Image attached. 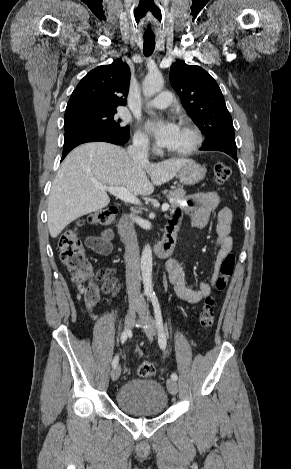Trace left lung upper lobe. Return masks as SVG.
I'll use <instances>...</instances> for the list:
<instances>
[{"instance_id":"obj_1","label":"left lung upper lobe","mask_w":291,"mask_h":469,"mask_svg":"<svg viewBox=\"0 0 291 469\" xmlns=\"http://www.w3.org/2000/svg\"><path fill=\"white\" fill-rule=\"evenodd\" d=\"M170 81L183 107L204 132V146L220 142L235 143L231 115L218 84L208 72L177 60L171 67Z\"/></svg>"}]
</instances>
